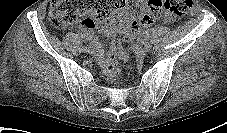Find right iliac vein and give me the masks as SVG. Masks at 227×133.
I'll list each match as a JSON object with an SVG mask.
<instances>
[{"label":"right iliac vein","instance_id":"obj_1","mask_svg":"<svg viewBox=\"0 0 227 133\" xmlns=\"http://www.w3.org/2000/svg\"><path fill=\"white\" fill-rule=\"evenodd\" d=\"M86 52L93 54L95 52V48L94 47H88Z\"/></svg>","mask_w":227,"mask_h":133}]
</instances>
